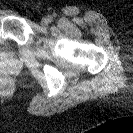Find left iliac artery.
<instances>
[{
	"label": "left iliac artery",
	"mask_w": 133,
	"mask_h": 133,
	"mask_svg": "<svg viewBox=\"0 0 133 133\" xmlns=\"http://www.w3.org/2000/svg\"><path fill=\"white\" fill-rule=\"evenodd\" d=\"M48 18H49L50 22L53 21V18L51 16H48Z\"/></svg>",
	"instance_id": "1"
}]
</instances>
